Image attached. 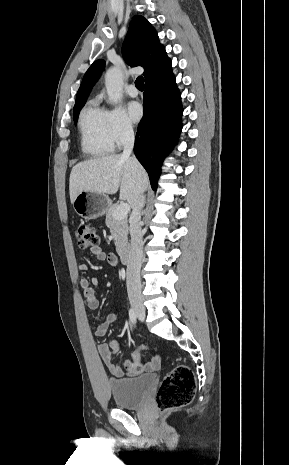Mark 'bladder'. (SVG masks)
Masks as SVG:
<instances>
[{
    "mask_svg": "<svg viewBox=\"0 0 289 465\" xmlns=\"http://www.w3.org/2000/svg\"><path fill=\"white\" fill-rule=\"evenodd\" d=\"M155 380L154 374H145L131 378L109 379L108 385L118 408L138 409L145 403Z\"/></svg>",
    "mask_w": 289,
    "mask_h": 465,
    "instance_id": "obj_1",
    "label": "bladder"
}]
</instances>
